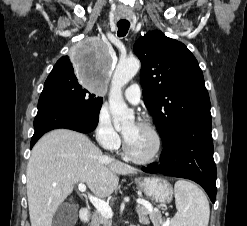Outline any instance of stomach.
<instances>
[{
	"mask_svg": "<svg viewBox=\"0 0 247 226\" xmlns=\"http://www.w3.org/2000/svg\"><path fill=\"white\" fill-rule=\"evenodd\" d=\"M137 187L151 200L159 203H169L173 198L170 183L161 177L135 178Z\"/></svg>",
	"mask_w": 247,
	"mask_h": 226,
	"instance_id": "obj_1",
	"label": "stomach"
}]
</instances>
